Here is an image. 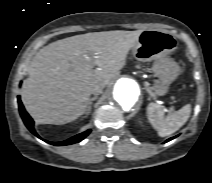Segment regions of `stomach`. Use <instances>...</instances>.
I'll use <instances>...</instances> for the list:
<instances>
[{"instance_id":"0dacf381","label":"stomach","mask_w":212,"mask_h":183,"mask_svg":"<svg viewBox=\"0 0 212 183\" xmlns=\"http://www.w3.org/2000/svg\"><path fill=\"white\" fill-rule=\"evenodd\" d=\"M176 49L177 40L173 34L157 29L143 30L132 48V53L138 61H153L151 70L158 77L153 89L159 96L167 94L170 84L180 73L178 63L169 58V54Z\"/></svg>"}]
</instances>
